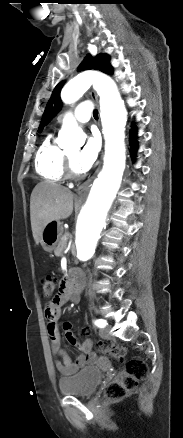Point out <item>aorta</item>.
<instances>
[{
	"mask_svg": "<svg viewBox=\"0 0 183 438\" xmlns=\"http://www.w3.org/2000/svg\"><path fill=\"white\" fill-rule=\"evenodd\" d=\"M93 85L100 95V110L106 141L104 166L93 182L76 222L77 259L89 261L95 254L98 240L110 216L125 168V125L127 111L112 79L95 72H83L68 81L61 91L65 103L77 101ZM80 132L72 114L63 119L58 144L65 148Z\"/></svg>",
	"mask_w": 183,
	"mask_h": 438,
	"instance_id": "obj_1",
	"label": "aorta"
}]
</instances>
